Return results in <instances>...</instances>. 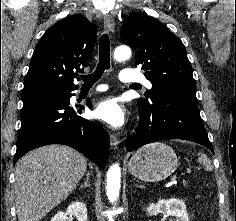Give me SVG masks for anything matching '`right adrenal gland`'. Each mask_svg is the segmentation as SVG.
<instances>
[{"instance_id":"1","label":"right adrenal gland","mask_w":236,"mask_h":221,"mask_svg":"<svg viewBox=\"0 0 236 221\" xmlns=\"http://www.w3.org/2000/svg\"><path fill=\"white\" fill-rule=\"evenodd\" d=\"M90 174L86 173V180L84 181L83 184H81L80 189L87 188L90 186Z\"/></svg>"}]
</instances>
